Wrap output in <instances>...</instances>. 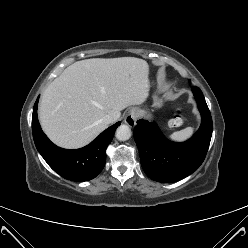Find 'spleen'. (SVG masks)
I'll use <instances>...</instances> for the list:
<instances>
[{
    "label": "spleen",
    "mask_w": 248,
    "mask_h": 248,
    "mask_svg": "<svg viewBox=\"0 0 248 248\" xmlns=\"http://www.w3.org/2000/svg\"><path fill=\"white\" fill-rule=\"evenodd\" d=\"M193 132H194V129L192 127H187L183 130L172 133L169 137L173 141L182 142L190 138Z\"/></svg>",
    "instance_id": "spleen-1"
}]
</instances>
